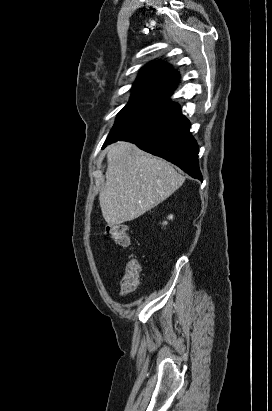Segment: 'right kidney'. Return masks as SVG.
Returning a JSON list of instances; mask_svg holds the SVG:
<instances>
[{"mask_svg":"<svg viewBox=\"0 0 272 411\" xmlns=\"http://www.w3.org/2000/svg\"><path fill=\"white\" fill-rule=\"evenodd\" d=\"M168 218H169V219H172V218H173V216H172V215H170ZM164 224H166V222H164Z\"/></svg>","mask_w":272,"mask_h":411,"instance_id":"ca27d5eb","label":"right kidney"}]
</instances>
